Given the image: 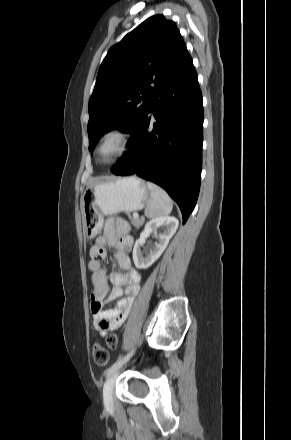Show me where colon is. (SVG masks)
I'll use <instances>...</instances> for the list:
<instances>
[{"label":"colon","instance_id":"colon-1","mask_svg":"<svg viewBox=\"0 0 291 440\" xmlns=\"http://www.w3.org/2000/svg\"><path fill=\"white\" fill-rule=\"evenodd\" d=\"M102 323L104 325H107L109 323V321L103 320ZM107 342L111 348H116L118 345L117 338L114 335H110L107 339ZM93 357H94L95 363L99 366H105L108 364V361H109L108 351L106 350V348L103 345H101L99 343H96L93 346Z\"/></svg>","mask_w":291,"mask_h":440}]
</instances>
